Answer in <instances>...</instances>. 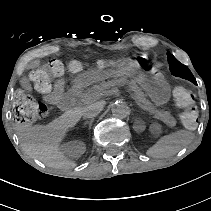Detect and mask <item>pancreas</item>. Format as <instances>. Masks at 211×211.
Wrapping results in <instances>:
<instances>
[{
	"label": "pancreas",
	"mask_w": 211,
	"mask_h": 211,
	"mask_svg": "<svg viewBox=\"0 0 211 211\" xmlns=\"http://www.w3.org/2000/svg\"><path fill=\"white\" fill-rule=\"evenodd\" d=\"M126 81H127L126 78H120L117 80V85L122 86ZM112 86H113V81L111 79H106L105 81L98 83L96 86L91 87L89 90L82 92L80 94V99L82 101H87L88 99H91L96 95H99L101 92L108 90ZM129 86L133 91L134 99L138 103L143 104L144 108H147L148 111L153 113L155 118L160 119L170 127H174L176 125L175 118L172 117L168 111H158L153 107L152 103L145 98V94L142 92V90L138 87V85L134 81L129 82Z\"/></svg>",
	"instance_id": "pancreas-1"
}]
</instances>
